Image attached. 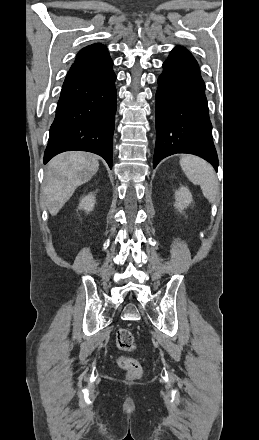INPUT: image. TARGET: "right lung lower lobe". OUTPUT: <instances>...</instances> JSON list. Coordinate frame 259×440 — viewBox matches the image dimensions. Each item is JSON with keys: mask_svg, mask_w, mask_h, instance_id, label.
<instances>
[{"mask_svg": "<svg viewBox=\"0 0 259 440\" xmlns=\"http://www.w3.org/2000/svg\"><path fill=\"white\" fill-rule=\"evenodd\" d=\"M109 54L74 63L62 86L44 153L46 164L69 150L93 152L112 168L116 75Z\"/></svg>", "mask_w": 259, "mask_h": 440, "instance_id": "obj_1", "label": "right lung lower lobe"}]
</instances>
